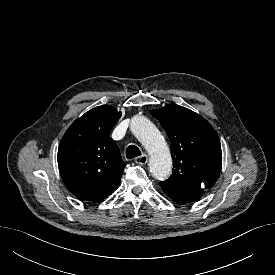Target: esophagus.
<instances>
[{"instance_id":"34e87169","label":"esophagus","mask_w":275,"mask_h":275,"mask_svg":"<svg viewBox=\"0 0 275 275\" xmlns=\"http://www.w3.org/2000/svg\"><path fill=\"white\" fill-rule=\"evenodd\" d=\"M135 162L140 165H145L148 162V156L146 154H143L139 157H136Z\"/></svg>"}]
</instances>
